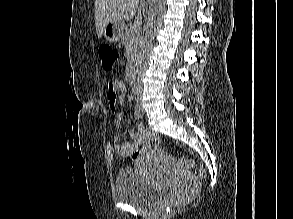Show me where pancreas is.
Wrapping results in <instances>:
<instances>
[{"label":"pancreas","mask_w":293,"mask_h":219,"mask_svg":"<svg viewBox=\"0 0 293 219\" xmlns=\"http://www.w3.org/2000/svg\"><path fill=\"white\" fill-rule=\"evenodd\" d=\"M139 40V30L132 25L126 26L125 33L122 37V43L127 53V67H131L137 59Z\"/></svg>","instance_id":"cf45deb5"}]
</instances>
